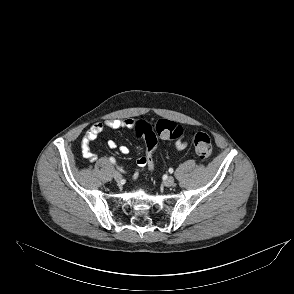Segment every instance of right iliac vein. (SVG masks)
<instances>
[{"instance_id":"right-iliac-vein-1","label":"right iliac vein","mask_w":294,"mask_h":294,"mask_svg":"<svg viewBox=\"0 0 294 294\" xmlns=\"http://www.w3.org/2000/svg\"><path fill=\"white\" fill-rule=\"evenodd\" d=\"M113 177L118 183L122 181V175L119 172H114Z\"/></svg>"}]
</instances>
